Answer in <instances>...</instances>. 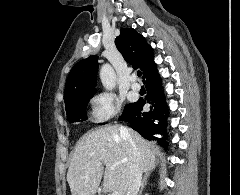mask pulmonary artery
I'll list each match as a JSON object with an SVG mask.
<instances>
[{
  "mask_svg": "<svg viewBox=\"0 0 240 195\" xmlns=\"http://www.w3.org/2000/svg\"><path fill=\"white\" fill-rule=\"evenodd\" d=\"M131 88H132L134 91H140V90H141V84L137 82L136 78H133V79H132Z\"/></svg>",
  "mask_w": 240,
  "mask_h": 195,
  "instance_id": "e3ab8cb5",
  "label": "pulmonary artery"
}]
</instances>
